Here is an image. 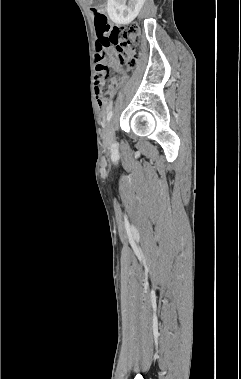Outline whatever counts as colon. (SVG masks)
<instances>
[{"mask_svg": "<svg viewBox=\"0 0 241 379\" xmlns=\"http://www.w3.org/2000/svg\"><path fill=\"white\" fill-rule=\"evenodd\" d=\"M93 12L96 31L101 36L95 56V93L99 105L107 108L115 86L113 71L118 64L127 62L133 65L135 63L141 50V38L136 23L114 26L109 36H104L110 29L105 8L98 6L93 8Z\"/></svg>", "mask_w": 241, "mask_h": 379, "instance_id": "obj_1", "label": "colon"}]
</instances>
